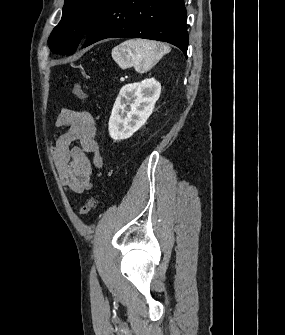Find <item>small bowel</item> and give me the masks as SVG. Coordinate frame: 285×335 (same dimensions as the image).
Wrapping results in <instances>:
<instances>
[{"mask_svg": "<svg viewBox=\"0 0 285 335\" xmlns=\"http://www.w3.org/2000/svg\"><path fill=\"white\" fill-rule=\"evenodd\" d=\"M56 126L67 128L52 147L56 170L66 190L81 194L91 188L93 170L103 163L95 140V119L87 111L63 109Z\"/></svg>", "mask_w": 285, "mask_h": 335, "instance_id": "c3829d8e", "label": "small bowel"}]
</instances>
